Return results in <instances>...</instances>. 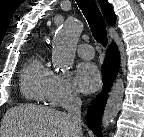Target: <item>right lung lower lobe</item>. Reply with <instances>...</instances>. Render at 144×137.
I'll return each mask as SVG.
<instances>
[{
  "label": "right lung lower lobe",
  "mask_w": 144,
  "mask_h": 137,
  "mask_svg": "<svg viewBox=\"0 0 144 137\" xmlns=\"http://www.w3.org/2000/svg\"><path fill=\"white\" fill-rule=\"evenodd\" d=\"M119 70V52L115 43H112L106 52V58L102 67L103 90L92 101L86 116L87 126L98 136L101 137V118L107 100L106 92L110 89Z\"/></svg>",
  "instance_id": "98d812e1"
}]
</instances>
